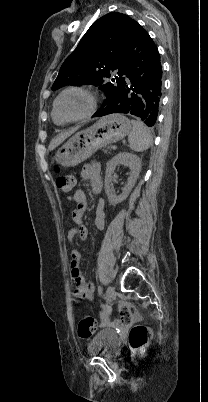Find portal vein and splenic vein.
<instances>
[{
    "label": "portal vein and splenic vein",
    "mask_w": 208,
    "mask_h": 402,
    "mask_svg": "<svg viewBox=\"0 0 208 402\" xmlns=\"http://www.w3.org/2000/svg\"><path fill=\"white\" fill-rule=\"evenodd\" d=\"M116 148H117V145H114V148H113V150H116Z\"/></svg>",
    "instance_id": "1"
}]
</instances>
